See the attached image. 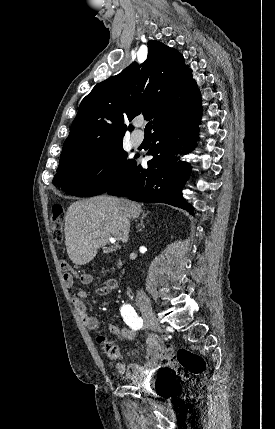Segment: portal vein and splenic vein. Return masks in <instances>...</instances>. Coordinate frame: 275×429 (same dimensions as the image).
<instances>
[{
    "label": "portal vein and splenic vein",
    "instance_id": "obj_1",
    "mask_svg": "<svg viewBox=\"0 0 275 429\" xmlns=\"http://www.w3.org/2000/svg\"><path fill=\"white\" fill-rule=\"evenodd\" d=\"M111 240H114V241H116V240H120V237L119 236H113L112 238H110Z\"/></svg>",
    "mask_w": 275,
    "mask_h": 429
}]
</instances>
